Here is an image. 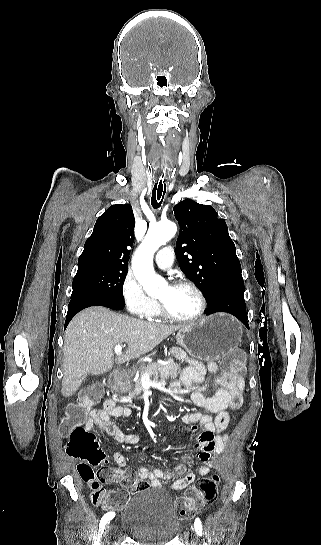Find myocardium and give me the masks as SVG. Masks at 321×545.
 Returning a JSON list of instances; mask_svg holds the SVG:
<instances>
[{
	"instance_id": "1",
	"label": "myocardium",
	"mask_w": 321,
	"mask_h": 545,
	"mask_svg": "<svg viewBox=\"0 0 321 545\" xmlns=\"http://www.w3.org/2000/svg\"><path fill=\"white\" fill-rule=\"evenodd\" d=\"M175 289H190L192 290L199 299V308L198 311L190 317H181L169 312L165 307L159 304V310L164 318L178 323H194L198 322L205 314L207 310V299L202 291V289L197 286L195 283L187 280H181L172 286Z\"/></svg>"
}]
</instances>
